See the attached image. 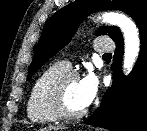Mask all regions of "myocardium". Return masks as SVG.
I'll return each mask as SVG.
<instances>
[{
    "instance_id": "obj_1",
    "label": "myocardium",
    "mask_w": 147,
    "mask_h": 131,
    "mask_svg": "<svg viewBox=\"0 0 147 131\" xmlns=\"http://www.w3.org/2000/svg\"><path fill=\"white\" fill-rule=\"evenodd\" d=\"M79 78L80 76L78 72L69 70L57 77L49 88V103L59 119L76 120L83 117L87 113L86 107L80 111H71L66 105L65 96L67 85L71 80Z\"/></svg>"
}]
</instances>
